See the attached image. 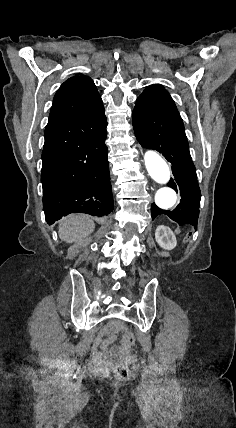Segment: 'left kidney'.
<instances>
[{
    "label": "left kidney",
    "mask_w": 236,
    "mask_h": 428,
    "mask_svg": "<svg viewBox=\"0 0 236 428\" xmlns=\"http://www.w3.org/2000/svg\"><path fill=\"white\" fill-rule=\"evenodd\" d=\"M155 238L156 242H158L159 246L164 248V250H173L176 246V238L172 230L167 228V226H158L155 232Z\"/></svg>",
    "instance_id": "obj_1"
}]
</instances>
